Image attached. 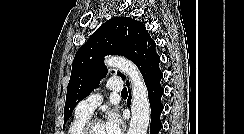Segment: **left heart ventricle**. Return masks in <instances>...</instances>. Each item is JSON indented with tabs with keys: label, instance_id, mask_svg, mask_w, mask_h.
Segmentation results:
<instances>
[{
	"label": "left heart ventricle",
	"instance_id": "1",
	"mask_svg": "<svg viewBox=\"0 0 244 134\" xmlns=\"http://www.w3.org/2000/svg\"><path fill=\"white\" fill-rule=\"evenodd\" d=\"M91 134H106V130H105L104 124L96 125L92 129Z\"/></svg>",
	"mask_w": 244,
	"mask_h": 134
}]
</instances>
